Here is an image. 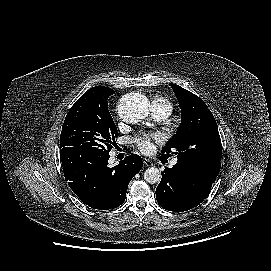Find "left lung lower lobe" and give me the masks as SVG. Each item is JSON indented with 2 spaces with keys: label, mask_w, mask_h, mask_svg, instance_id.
Wrapping results in <instances>:
<instances>
[{
  "label": "left lung lower lobe",
  "mask_w": 271,
  "mask_h": 271,
  "mask_svg": "<svg viewBox=\"0 0 271 271\" xmlns=\"http://www.w3.org/2000/svg\"><path fill=\"white\" fill-rule=\"evenodd\" d=\"M212 184L178 164L166 167L156 189L157 202L169 211H187L206 199Z\"/></svg>",
  "instance_id": "obj_1"
}]
</instances>
